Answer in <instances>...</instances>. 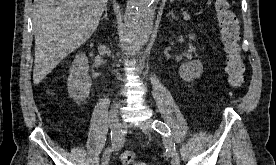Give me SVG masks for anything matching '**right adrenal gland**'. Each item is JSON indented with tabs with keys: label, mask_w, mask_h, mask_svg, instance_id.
I'll return each instance as SVG.
<instances>
[{
	"label": "right adrenal gland",
	"mask_w": 276,
	"mask_h": 165,
	"mask_svg": "<svg viewBox=\"0 0 276 165\" xmlns=\"http://www.w3.org/2000/svg\"><path fill=\"white\" fill-rule=\"evenodd\" d=\"M107 7L105 8V10H104V16L101 18V20H103V19H107L108 20V13H107Z\"/></svg>",
	"instance_id": "right-adrenal-gland-1"
}]
</instances>
